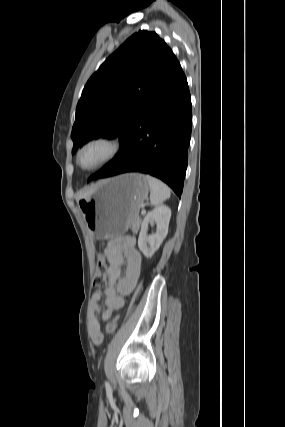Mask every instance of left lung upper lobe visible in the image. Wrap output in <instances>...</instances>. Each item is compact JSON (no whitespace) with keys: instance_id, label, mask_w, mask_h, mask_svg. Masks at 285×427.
Instances as JSON below:
<instances>
[{"instance_id":"1","label":"left lung upper lobe","mask_w":285,"mask_h":427,"mask_svg":"<svg viewBox=\"0 0 285 427\" xmlns=\"http://www.w3.org/2000/svg\"><path fill=\"white\" fill-rule=\"evenodd\" d=\"M171 54L155 32L145 30L134 33L111 54L88 80L77 104L72 153L100 136L119 137L123 143Z\"/></svg>"}]
</instances>
